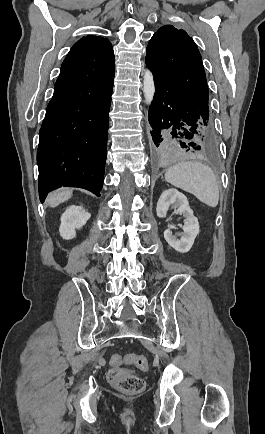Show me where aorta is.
<instances>
[{
    "label": "aorta",
    "instance_id": "1",
    "mask_svg": "<svg viewBox=\"0 0 265 434\" xmlns=\"http://www.w3.org/2000/svg\"><path fill=\"white\" fill-rule=\"evenodd\" d=\"M143 94L146 104H152L155 94V84L152 72L146 70L143 76Z\"/></svg>",
    "mask_w": 265,
    "mask_h": 434
}]
</instances>
